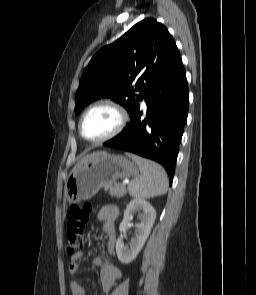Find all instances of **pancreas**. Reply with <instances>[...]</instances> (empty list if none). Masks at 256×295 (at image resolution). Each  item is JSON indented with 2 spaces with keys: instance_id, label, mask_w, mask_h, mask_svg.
Here are the masks:
<instances>
[{
  "instance_id": "cf45deb5",
  "label": "pancreas",
  "mask_w": 256,
  "mask_h": 295,
  "mask_svg": "<svg viewBox=\"0 0 256 295\" xmlns=\"http://www.w3.org/2000/svg\"><path fill=\"white\" fill-rule=\"evenodd\" d=\"M105 191L109 190L111 196L120 198L127 193L126 186L119 183L110 184L104 187Z\"/></svg>"
}]
</instances>
